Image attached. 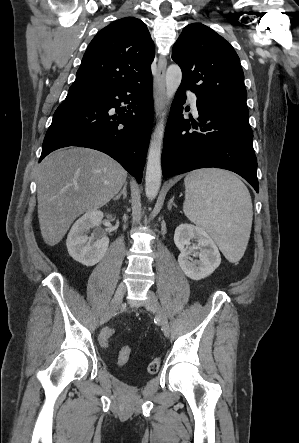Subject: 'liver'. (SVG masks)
Returning a JSON list of instances; mask_svg holds the SVG:
<instances>
[{
    "label": "liver",
    "mask_w": 299,
    "mask_h": 443,
    "mask_svg": "<svg viewBox=\"0 0 299 443\" xmlns=\"http://www.w3.org/2000/svg\"><path fill=\"white\" fill-rule=\"evenodd\" d=\"M126 178L127 172L118 162L96 150L74 147L48 155L36 175L44 242L58 244L79 215L107 204Z\"/></svg>",
    "instance_id": "1"
}]
</instances>
